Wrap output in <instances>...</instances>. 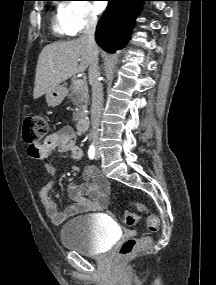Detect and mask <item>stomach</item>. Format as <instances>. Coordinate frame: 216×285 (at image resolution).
I'll use <instances>...</instances> for the list:
<instances>
[{"instance_id":"0dacf381","label":"stomach","mask_w":216,"mask_h":285,"mask_svg":"<svg viewBox=\"0 0 216 285\" xmlns=\"http://www.w3.org/2000/svg\"><path fill=\"white\" fill-rule=\"evenodd\" d=\"M66 96V88L63 86H58L54 88L52 91L46 94L47 104L51 107L58 106L62 103Z\"/></svg>"}]
</instances>
